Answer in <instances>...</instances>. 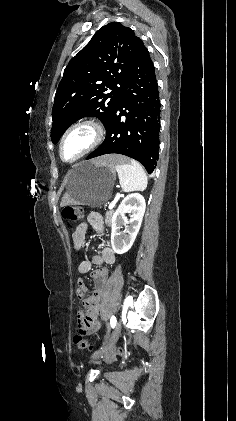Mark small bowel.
Returning <instances> with one entry per match:
<instances>
[{
  "instance_id": "c3829d8e",
  "label": "small bowel",
  "mask_w": 236,
  "mask_h": 421,
  "mask_svg": "<svg viewBox=\"0 0 236 421\" xmlns=\"http://www.w3.org/2000/svg\"><path fill=\"white\" fill-rule=\"evenodd\" d=\"M88 226H91L99 235L102 236L104 234V225L101 215L98 213H91L88 216L87 222L81 223L73 234V240L76 248H80L83 245ZM83 269H87V267L84 266ZM85 289V285L82 282H79L76 290L77 295L82 297ZM79 320L80 322L83 321L81 315H79ZM82 325L84 324L82 323Z\"/></svg>"
}]
</instances>
